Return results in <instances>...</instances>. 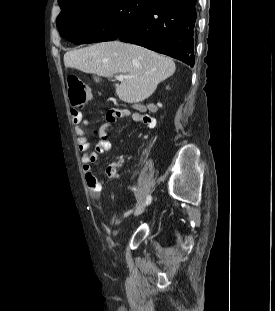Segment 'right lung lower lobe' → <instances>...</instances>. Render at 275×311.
<instances>
[{
    "mask_svg": "<svg viewBox=\"0 0 275 311\" xmlns=\"http://www.w3.org/2000/svg\"><path fill=\"white\" fill-rule=\"evenodd\" d=\"M196 0H159L116 39L163 53L194 66Z\"/></svg>",
    "mask_w": 275,
    "mask_h": 311,
    "instance_id": "right-lung-lower-lobe-1",
    "label": "right lung lower lobe"
}]
</instances>
